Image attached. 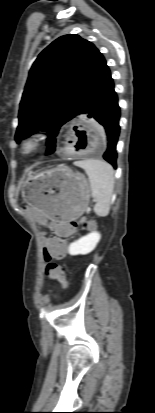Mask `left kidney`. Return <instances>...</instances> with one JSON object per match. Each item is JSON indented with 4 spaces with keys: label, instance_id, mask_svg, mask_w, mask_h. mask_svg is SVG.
I'll return each instance as SVG.
<instances>
[{
    "label": "left kidney",
    "instance_id": "obj_1",
    "mask_svg": "<svg viewBox=\"0 0 155 413\" xmlns=\"http://www.w3.org/2000/svg\"><path fill=\"white\" fill-rule=\"evenodd\" d=\"M101 235L98 232H92L86 236L81 237L79 240L73 242L69 246L70 255H85L92 252L98 242L100 241Z\"/></svg>",
    "mask_w": 155,
    "mask_h": 413
}]
</instances>
